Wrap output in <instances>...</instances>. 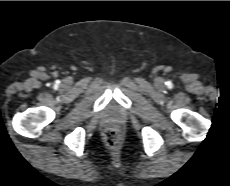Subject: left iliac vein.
Masks as SVG:
<instances>
[{
  "instance_id": "1",
  "label": "left iliac vein",
  "mask_w": 230,
  "mask_h": 186,
  "mask_svg": "<svg viewBox=\"0 0 230 186\" xmlns=\"http://www.w3.org/2000/svg\"><path fill=\"white\" fill-rule=\"evenodd\" d=\"M158 84H162V80H158Z\"/></svg>"
}]
</instances>
